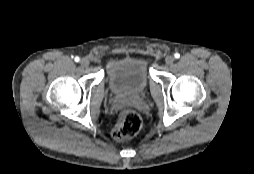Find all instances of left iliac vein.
<instances>
[{
	"label": "left iliac vein",
	"mask_w": 254,
	"mask_h": 174,
	"mask_svg": "<svg viewBox=\"0 0 254 174\" xmlns=\"http://www.w3.org/2000/svg\"><path fill=\"white\" fill-rule=\"evenodd\" d=\"M174 61H175V58L172 55L167 56L165 59V62L167 65H172L174 63Z\"/></svg>",
	"instance_id": "4c4485c4"
}]
</instances>
